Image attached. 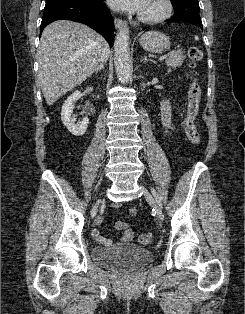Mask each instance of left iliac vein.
Returning a JSON list of instances; mask_svg holds the SVG:
<instances>
[{"label":"left iliac vein","mask_w":245,"mask_h":314,"mask_svg":"<svg viewBox=\"0 0 245 314\" xmlns=\"http://www.w3.org/2000/svg\"><path fill=\"white\" fill-rule=\"evenodd\" d=\"M141 191L143 192V195H144L145 199L147 200V202L154 208V210L157 214V217L161 221H163L164 220V214L162 212L160 205L156 202L154 197L151 195V193L144 186H141Z\"/></svg>","instance_id":"obj_1"}]
</instances>
